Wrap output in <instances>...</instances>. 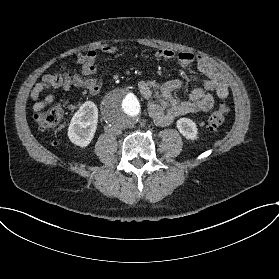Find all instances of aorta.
I'll list each match as a JSON object with an SVG mask.
<instances>
[{
  "instance_id": "762f6f07",
  "label": "aorta",
  "mask_w": 279,
  "mask_h": 279,
  "mask_svg": "<svg viewBox=\"0 0 279 279\" xmlns=\"http://www.w3.org/2000/svg\"><path fill=\"white\" fill-rule=\"evenodd\" d=\"M142 112L140 99L128 88L110 91L102 101V115L108 126L121 130L133 127Z\"/></svg>"
}]
</instances>
